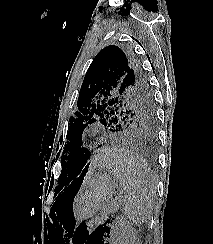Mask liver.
I'll list each match as a JSON object with an SVG mask.
<instances>
[{"instance_id": "1", "label": "liver", "mask_w": 213, "mask_h": 244, "mask_svg": "<svg viewBox=\"0 0 213 244\" xmlns=\"http://www.w3.org/2000/svg\"><path fill=\"white\" fill-rule=\"evenodd\" d=\"M106 160V156H102V157H96L95 159H94V161H93V166H95V165H101V164H103L104 163V161Z\"/></svg>"}]
</instances>
